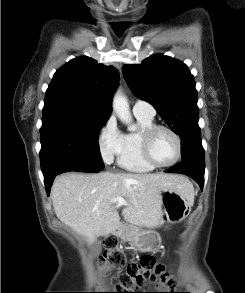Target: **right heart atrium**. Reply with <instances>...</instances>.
<instances>
[{
	"label": "right heart atrium",
	"mask_w": 245,
	"mask_h": 293,
	"mask_svg": "<svg viewBox=\"0 0 245 293\" xmlns=\"http://www.w3.org/2000/svg\"><path fill=\"white\" fill-rule=\"evenodd\" d=\"M97 142L104 162L110 164L115 156H118L123 146V133L112 117L101 126Z\"/></svg>",
	"instance_id": "1"
}]
</instances>
